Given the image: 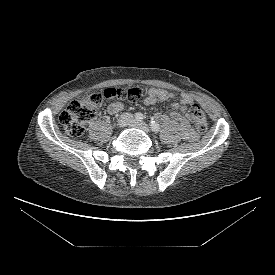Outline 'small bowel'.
<instances>
[{"instance_id":"c3829d8e","label":"small bowel","mask_w":275,"mask_h":275,"mask_svg":"<svg viewBox=\"0 0 275 275\" xmlns=\"http://www.w3.org/2000/svg\"><path fill=\"white\" fill-rule=\"evenodd\" d=\"M174 98H176V93L174 91L152 88L147 91L144 102L147 105H152ZM193 104L194 101L191 96L182 94L172 104L170 113L171 118L179 125L183 138L188 141L197 139V133L190 126L191 116L187 110V108ZM123 108L124 105L121 102H113L108 106L107 111L109 114L114 115L123 110Z\"/></svg>"}]
</instances>
